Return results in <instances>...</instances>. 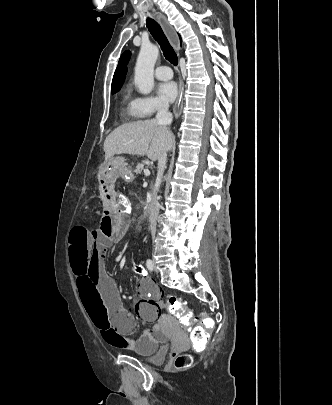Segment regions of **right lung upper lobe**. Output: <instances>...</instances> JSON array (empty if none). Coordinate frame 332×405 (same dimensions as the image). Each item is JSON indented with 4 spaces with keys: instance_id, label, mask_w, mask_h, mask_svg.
<instances>
[{
    "instance_id": "right-lung-upper-lobe-1",
    "label": "right lung upper lobe",
    "mask_w": 332,
    "mask_h": 405,
    "mask_svg": "<svg viewBox=\"0 0 332 405\" xmlns=\"http://www.w3.org/2000/svg\"><path fill=\"white\" fill-rule=\"evenodd\" d=\"M130 55L131 54H130L129 51H125L121 55V57L119 59L118 66H117V68L115 70V73H114L113 80H112V87H115V86H117L119 84H123L124 79H125V75H126V72H127L126 65H127L128 61L130 59Z\"/></svg>"
}]
</instances>
